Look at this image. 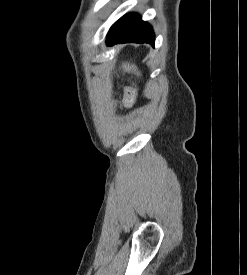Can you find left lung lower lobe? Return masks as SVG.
<instances>
[{
	"label": "left lung lower lobe",
	"mask_w": 247,
	"mask_h": 275,
	"mask_svg": "<svg viewBox=\"0 0 247 275\" xmlns=\"http://www.w3.org/2000/svg\"><path fill=\"white\" fill-rule=\"evenodd\" d=\"M149 43L154 47L155 38L152 27L140 16L130 13L120 18L109 30L107 45L117 43Z\"/></svg>",
	"instance_id": "left-lung-lower-lobe-1"
}]
</instances>
